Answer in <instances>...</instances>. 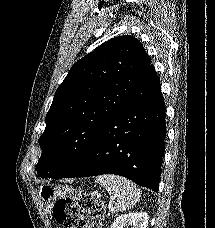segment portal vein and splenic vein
Returning a JSON list of instances; mask_svg holds the SVG:
<instances>
[{
  "label": "portal vein and splenic vein",
  "instance_id": "18ae733b",
  "mask_svg": "<svg viewBox=\"0 0 215 228\" xmlns=\"http://www.w3.org/2000/svg\"><path fill=\"white\" fill-rule=\"evenodd\" d=\"M111 214H114L116 212L115 208H112V206H109Z\"/></svg>",
  "mask_w": 215,
  "mask_h": 228
}]
</instances>
